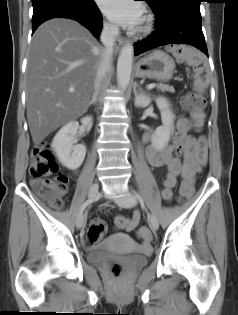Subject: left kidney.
<instances>
[{"label": "left kidney", "mask_w": 238, "mask_h": 315, "mask_svg": "<svg viewBox=\"0 0 238 315\" xmlns=\"http://www.w3.org/2000/svg\"><path fill=\"white\" fill-rule=\"evenodd\" d=\"M155 102L161 113L162 126H159L155 130L151 141H152V146L156 150H161L168 144L170 140L172 126H173L175 117L172 111L170 110V104L166 98L157 97L155 99ZM150 103H151V98L144 93H140L135 98V105L137 107H147Z\"/></svg>", "instance_id": "obj_1"}]
</instances>
